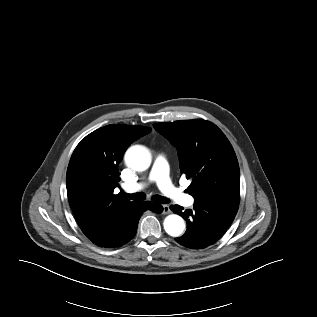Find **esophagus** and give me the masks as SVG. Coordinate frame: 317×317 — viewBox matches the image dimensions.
<instances>
[{"instance_id":"obj_1","label":"esophagus","mask_w":317,"mask_h":317,"mask_svg":"<svg viewBox=\"0 0 317 317\" xmlns=\"http://www.w3.org/2000/svg\"><path fill=\"white\" fill-rule=\"evenodd\" d=\"M163 214H168L170 213V207L168 205H163Z\"/></svg>"}]
</instances>
